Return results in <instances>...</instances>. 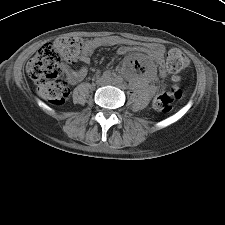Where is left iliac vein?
I'll return each instance as SVG.
<instances>
[{"mask_svg":"<svg viewBox=\"0 0 225 225\" xmlns=\"http://www.w3.org/2000/svg\"><path fill=\"white\" fill-rule=\"evenodd\" d=\"M107 83L108 84H116V83H118V81L116 79H114V78H108L107 79Z\"/></svg>","mask_w":225,"mask_h":225,"instance_id":"1","label":"left iliac vein"}]
</instances>
